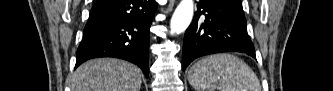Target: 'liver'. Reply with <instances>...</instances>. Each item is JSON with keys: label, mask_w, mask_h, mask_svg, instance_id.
<instances>
[{"label": "liver", "mask_w": 333, "mask_h": 91, "mask_svg": "<svg viewBox=\"0 0 333 91\" xmlns=\"http://www.w3.org/2000/svg\"><path fill=\"white\" fill-rule=\"evenodd\" d=\"M142 72L123 60L99 58L80 65L71 80L72 91H139Z\"/></svg>", "instance_id": "obj_1"}]
</instances>
